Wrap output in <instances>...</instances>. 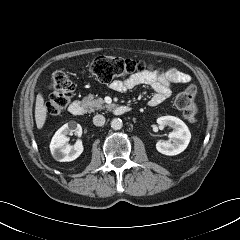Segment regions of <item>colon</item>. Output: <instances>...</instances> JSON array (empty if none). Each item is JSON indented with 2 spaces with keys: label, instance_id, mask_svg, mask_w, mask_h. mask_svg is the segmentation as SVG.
<instances>
[{
  "label": "colon",
  "instance_id": "obj_1",
  "mask_svg": "<svg viewBox=\"0 0 240 240\" xmlns=\"http://www.w3.org/2000/svg\"><path fill=\"white\" fill-rule=\"evenodd\" d=\"M89 70L97 81L108 84L114 79L151 71L152 68L139 60L98 56L91 61ZM50 86L53 93L46 104V112L49 116H58L65 110L73 98L75 84L65 72L55 71L51 75ZM196 95V87L190 85L179 93L176 98V106L189 122H194L197 118Z\"/></svg>",
  "mask_w": 240,
  "mask_h": 240
}]
</instances>
